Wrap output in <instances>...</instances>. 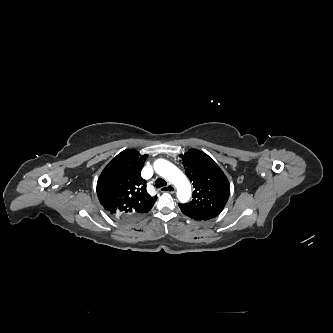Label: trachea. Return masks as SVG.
<instances>
[{"mask_svg":"<svg viewBox=\"0 0 333 333\" xmlns=\"http://www.w3.org/2000/svg\"><path fill=\"white\" fill-rule=\"evenodd\" d=\"M167 183L164 179L162 178H158L156 181H155V186L156 188H160V187H163V186H166Z\"/></svg>","mask_w":333,"mask_h":333,"instance_id":"3493384b","label":"trachea"}]
</instances>
